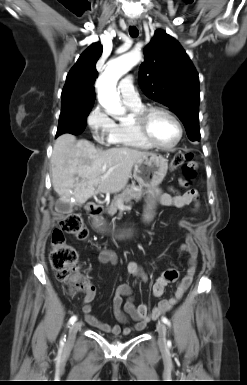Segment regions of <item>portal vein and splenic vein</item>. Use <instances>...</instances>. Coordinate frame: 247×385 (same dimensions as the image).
<instances>
[{
  "label": "portal vein and splenic vein",
  "mask_w": 247,
  "mask_h": 385,
  "mask_svg": "<svg viewBox=\"0 0 247 385\" xmlns=\"http://www.w3.org/2000/svg\"><path fill=\"white\" fill-rule=\"evenodd\" d=\"M119 207H120V208H124L123 203H120V204H119Z\"/></svg>",
  "instance_id": "18ae733b"
}]
</instances>
